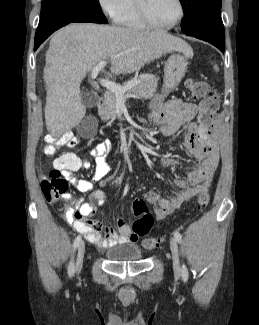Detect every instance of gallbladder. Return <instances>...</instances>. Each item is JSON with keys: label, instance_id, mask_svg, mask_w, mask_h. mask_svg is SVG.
<instances>
[{"label": "gallbladder", "instance_id": "gallbladder-1", "mask_svg": "<svg viewBox=\"0 0 259 325\" xmlns=\"http://www.w3.org/2000/svg\"><path fill=\"white\" fill-rule=\"evenodd\" d=\"M81 103L86 108H92L98 101V95L93 91H84L80 94ZM96 118L93 115H86L84 121L78 126L79 135L82 139H95Z\"/></svg>", "mask_w": 259, "mask_h": 325}]
</instances>
